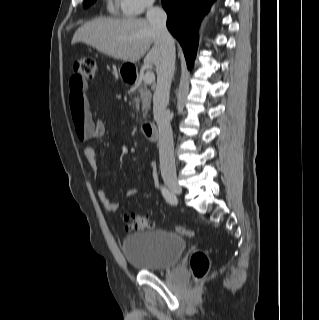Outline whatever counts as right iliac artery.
I'll return each mask as SVG.
<instances>
[{"label":"right iliac artery","mask_w":319,"mask_h":320,"mask_svg":"<svg viewBox=\"0 0 319 320\" xmlns=\"http://www.w3.org/2000/svg\"><path fill=\"white\" fill-rule=\"evenodd\" d=\"M162 195L163 197L165 198V200L172 204V205H175L177 203V198L176 196L170 191L168 190L167 188L165 187H162Z\"/></svg>","instance_id":"right-iliac-artery-1"}]
</instances>
